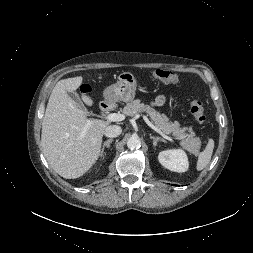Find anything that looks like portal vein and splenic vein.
<instances>
[{"mask_svg":"<svg viewBox=\"0 0 253 253\" xmlns=\"http://www.w3.org/2000/svg\"><path fill=\"white\" fill-rule=\"evenodd\" d=\"M106 119L108 121L111 122H119V121H123L125 119V115L120 114V113H110L106 116ZM143 119L145 120V122L147 123V125L149 127H151L154 131L158 132L160 135H162L163 137L172 140L171 137L167 136L166 134L162 133L155 125L152 124V122L149 121V119L146 116H143ZM87 127L86 126L83 131H82V136H84L86 134L87 131Z\"/></svg>","mask_w":253,"mask_h":253,"instance_id":"portal-vein-and-splenic-vein-1","label":"portal vein and splenic vein"}]
</instances>
